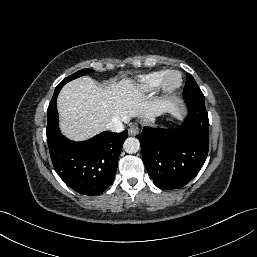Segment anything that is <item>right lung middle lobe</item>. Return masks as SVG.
I'll return each instance as SVG.
<instances>
[{
	"mask_svg": "<svg viewBox=\"0 0 257 257\" xmlns=\"http://www.w3.org/2000/svg\"><path fill=\"white\" fill-rule=\"evenodd\" d=\"M91 72H93V70H91V69H82V70H80V71H78V72L72 74L71 76H69V77L65 78L64 80H62V81L57 85V87H56V89H55V92H59V91L61 90V88L63 87V85H65L67 82H69V81H71V80H73V79H75V78H78V77H80V76H83V75H85V74H87V73H91Z\"/></svg>",
	"mask_w": 257,
	"mask_h": 257,
	"instance_id": "obj_1",
	"label": "right lung middle lobe"
}]
</instances>
